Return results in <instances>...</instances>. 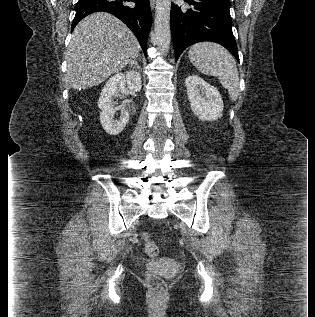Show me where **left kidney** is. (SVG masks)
I'll return each mask as SVG.
<instances>
[{"mask_svg": "<svg viewBox=\"0 0 315 317\" xmlns=\"http://www.w3.org/2000/svg\"><path fill=\"white\" fill-rule=\"evenodd\" d=\"M188 100L193 113L202 121H215L222 117L223 100L219 91L197 75L185 79Z\"/></svg>", "mask_w": 315, "mask_h": 317, "instance_id": "left-kidney-1", "label": "left kidney"}]
</instances>
